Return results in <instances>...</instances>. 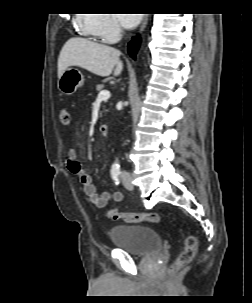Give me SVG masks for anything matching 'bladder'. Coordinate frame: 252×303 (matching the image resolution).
I'll list each match as a JSON object with an SVG mask.
<instances>
[{
  "label": "bladder",
  "mask_w": 252,
  "mask_h": 303,
  "mask_svg": "<svg viewBox=\"0 0 252 303\" xmlns=\"http://www.w3.org/2000/svg\"><path fill=\"white\" fill-rule=\"evenodd\" d=\"M112 243L135 257H146L161 251V237L150 226L115 225L110 229Z\"/></svg>",
  "instance_id": "bladder-1"
}]
</instances>
